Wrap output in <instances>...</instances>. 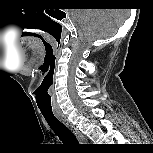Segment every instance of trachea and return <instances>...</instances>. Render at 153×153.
Masks as SVG:
<instances>
[{
    "mask_svg": "<svg viewBox=\"0 0 153 153\" xmlns=\"http://www.w3.org/2000/svg\"><path fill=\"white\" fill-rule=\"evenodd\" d=\"M43 117L48 125L59 137V139L66 144H78V141L72 131L66 127L53 113L41 111Z\"/></svg>",
    "mask_w": 153,
    "mask_h": 153,
    "instance_id": "3493384b",
    "label": "trachea"
}]
</instances>
